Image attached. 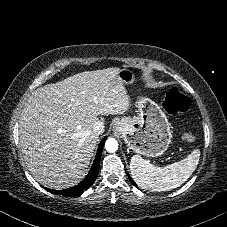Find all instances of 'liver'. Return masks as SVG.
Instances as JSON below:
<instances>
[{"instance_id": "6515ba94", "label": "liver", "mask_w": 227, "mask_h": 227, "mask_svg": "<svg viewBox=\"0 0 227 227\" xmlns=\"http://www.w3.org/2000/svg\"><path fill=\"white\" fill-rule=\"evenodd\" d=\"M117 67L85 71L33 91L20 117L23 157L43 186L78 184L90 164L100 115L124 114L130 97Z\"/></svg>"}]
</instances>
